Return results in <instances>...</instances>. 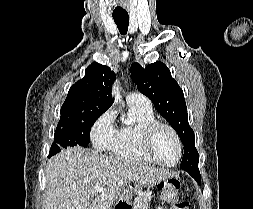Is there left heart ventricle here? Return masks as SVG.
Returning <instances> with one entry per match:
<instances>
[{
  "mask_svg": "<svg viewBox=\"0 0 253 209\" xmlns=\"http://www.w3.org/2000/svg\"><path fill=\"white\" fill-rule=\"evenodd\" d=\"M152 151L163 162L172 163L176 160L178 154L176 141L168 129H157L153 137Z\"/></svg>",
  "mask_w": 253,
  "mask_h": 209,
  "instance_id": "b2bd125f",
  "label": "left heart ventricle"
}]
</instances>
